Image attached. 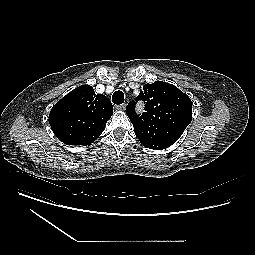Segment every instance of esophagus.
<instances>
[{"label": "esophagus", "mask_w": 255, "mask_h": 255, "mask_svg": "<svg viewBox=\"0 0 255 255\" xmlns=\"http://www.w3.org/2000/svg\"><path fill=\"white\" fill-rule=\"evenodd\" d=\"M115 108L116 110L123 111L126 108V104L116 105Z\"/></svg>", "instance_id": "obj_1"}]
</instances>
